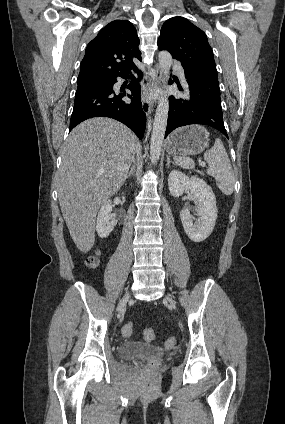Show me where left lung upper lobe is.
Masks as SVG:
<instances>
[{
	"mask_svg": "<svg viewBox=\"0 0 285 424\" xmlns=\"http://www.w3.org/2000/svg\"><path fill=\"white\" fill-rule=\"evenodd\" d=\"M158 47L179 60L185 74L199 69L217 71L207 36L183 17L170 18L163 24Z\"/></svg>",
	"mask_w": 285,
	"mask_h": 424,
	"instance_id": "left-lung-upper-lobe-1",
	"label": "left lung upper lobe"
}]
</instances>
